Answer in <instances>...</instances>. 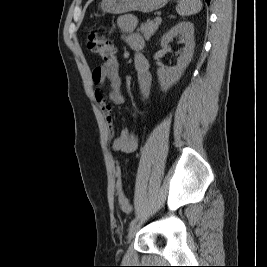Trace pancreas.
Instances as JSON below:
<instances>
[{"instance_id":"1","label":"pancreas","mask_w":267,"mask_h":267,"mask_svg":"<svg viewBox=\"0 0 267 267\" xmlns=\"http://www.w3.org/2000/svg\"><path fill=\"white\" fill-rule=\"evenodd\" d=\"M161 21H152V20H147V22L141 24L140 26V31L143 34L144 38L146 40H149L152 35L156 32L160 25Z\"/></svg>"}]
</instances>
